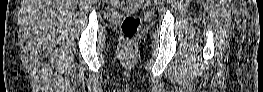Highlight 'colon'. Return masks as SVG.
Wrapping results in <instances>:
<instances>
[{"label": "colon", "instance_id": "colon-1", "mask_svg": "<svg viewBox=\"0 0 263 92\" xmlns=\"http://www.w3.org/2000/svg\"><path fill=\"white\" fill-rule=\"evenodd\" d=\"M119 2V1H115ZM137 2H145L143 0H139ZM140 26V18L135 15H127L124 17L121 23V32L124 37L125 44H130L136 38L138 28Z\"/></svg>", "mask_w": 263, "mask_h": 92}]
</instances>
